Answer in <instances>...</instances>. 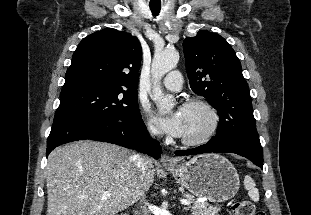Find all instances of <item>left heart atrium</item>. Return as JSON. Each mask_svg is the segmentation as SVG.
Returning a JSON list of instances; mask_svg holds the SVG:
<instances>
[{"label": "left heart atrium", "instance_id": "left-heart-atrium-1", "mask_svg": "<svg viewBox=\"0 0 311 215\" xmlns=\"http://www.w3.org/2000/svg\"><path fill=\"white\" fill-rule=\"evenodd\" d=\"M158 122L162 129L176 137H181L185 128V115L182 108L175 110L174 112L158 117Z\"/></svg>", "mask_w": 311, "mask_h": 215}]
</instances>
